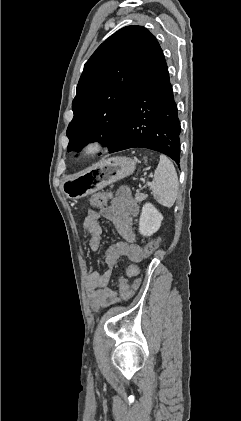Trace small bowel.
I'll use <instances>...</instances> for the list:
<instances>
[{
    "mask_svg": "<svg viewBox=\"0 0 241 421\" xmlns=\"http://www.w3.org/2000/svg\"><path fill=\"white\" fill-rule=\"evenodd\" d=\"M138 211V204L133 199L130 189L121 186L109 205L101 206L98 210H90L84 220L83 227L89 236V247L93 251L99 249L102 241L101 218L111 221L124 238V241H118L106 250L104 255L106 270L102 273L92 272L87 277V295L92 309L96 312L120 301L117 293L108 287L116 262L122 257L137 262L142 259L143 250L135 243L136 234L132 226V217Z\"/></svg>",
    "mask_w": 241,
    "mask_h": 421,
    "instance_id": "small-bowel-1",
    "label": "small bowel"
}]
</instances>
